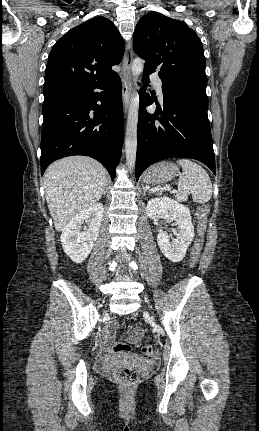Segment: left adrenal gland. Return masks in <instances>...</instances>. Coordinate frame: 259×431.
<instances>
[{
    "mask_svg": "<svg viewBox=\"0 0 259 431\" xmlns=\"http://www.w3.org/2000/svg\"><path fill=\"white\" fill-rule=\"evenodd\" d=\"M142 188H143V195H146V192L148 191V189L144 185H142Z\"/></svg>",
    "mask_w": 259,
    "mask_h": 431,
    "instance_id": "left-adrenal-gland-1",
    "label": "left adrenal gland"
}]
</instances>
